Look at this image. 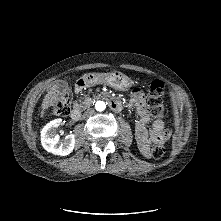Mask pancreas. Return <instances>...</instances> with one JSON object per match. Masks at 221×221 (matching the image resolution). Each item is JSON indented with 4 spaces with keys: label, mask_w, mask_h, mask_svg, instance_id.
I'll use <instances>...</instances> for the list:
<instances>
[{
    "label": "pancreas",
    "mask_w": 221,
    "mask_h": 221,
    "mask_svg": "<svg viewBox=\"0 0 221 221\" xmlns=\"http://www.w3.org/2000/svg\"><path fill=\"white\" fill-rule=\"evenodd\" d=\"M94 102V100L90 97H84V101H82V107H88L90 106L92 103Z\"/></svg>",
    "instance_id": "pancreas-1"
}]
</instances>
